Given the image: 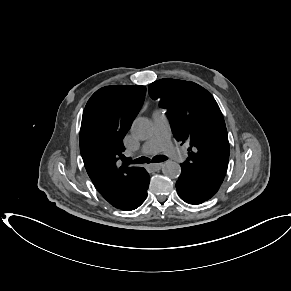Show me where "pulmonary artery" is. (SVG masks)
<instances>
[{
    "label": "pulmonary artery",
    "instance_id": "obj_1",
    "mask_svg": "<svg viewBox=\"0 0 291 291\" xmlns=\"http://www.w3.org/2000/svg\"><path fill=\"white\" fill-rule=\"evenodd\" d=\"M154 129L151 137L142 145L141 152L146 155L163 151L171 159L179 162L184 159L183 152L171 142V133L168 117L163 110L152 114Z\"/></svg>",
    "mask_w": 291,
    "mask_h": 291
}]
</instances>
